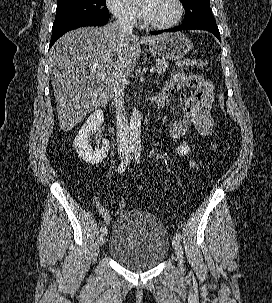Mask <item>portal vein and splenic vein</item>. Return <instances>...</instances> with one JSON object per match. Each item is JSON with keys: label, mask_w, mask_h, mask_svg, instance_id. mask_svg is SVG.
Returning <instances> with one entry per match:
<instances>
[{"label": "portal vein and splenic vein", "mask_w": 272, "mask_h": 303, "mask_svg": "<svg viewBox=\"0 0 272 303\" xmlns=\"http://www.w3.org/2000/svg\"><path fill=\"white\" fill-rule=\"evenodd\" d=\"M150 71H151L152 73H154V72L156 71V68L152 67V68L150 69Z\"/></svg>", "instance_id": "1"}]
</instances>
